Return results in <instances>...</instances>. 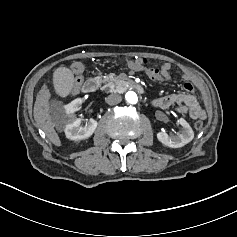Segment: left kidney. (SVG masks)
<instances>
[{"instance_id":"obj_1","label":"left kidney","mask_w":237,"mask_h":237,"mask_svg":"<svg viewBox=\"0 0 237 237\" xmlns=\"http://www.w3.org/2000/svg\"><path fill=\"white\" fill-rule=\"evenodd\" d=\"M179 124L182 126L179 134L169 136L166 133L158 132L156 134L157 140L169 148H180L192 141L194 138V131L190 124L184 118L179 119Z\"/></svg>"}]
</instances>
